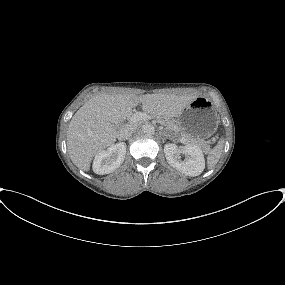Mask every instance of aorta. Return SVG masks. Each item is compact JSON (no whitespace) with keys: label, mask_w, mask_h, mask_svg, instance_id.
Here are the masks:
<instances>
[{"label":"aorta","mask_w":285,"mask_h":285,"mask_svg":"<svg viewBox=\"0 0 285 285\" xmlns=\"http://www.w3.org/2000/svg\"><path fill=\"white\" fill-rule=\"evenodd\" d=\"M142 131L144 134L146 135H153L155 133V128L153 125L151 124H145L143 127H142Z\"/></svg>","instance_id":"aorta-1"}]
</instances>
